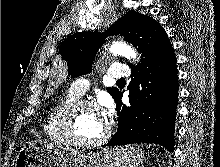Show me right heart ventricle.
<instances>
[{
	"label": "right heart ventricle",
	"mask_w": 220,
	"mask_h": 167,
	"mask_svg": "<svg viewBox=\"0 0 220 167\" xmlns=\"http://www.w3.org/2000/svg\"><path fill=\"white\" fill-rule=\"evenodd\" d=\"M78 98L79 97L70 90L52 104L42 127L43 135L49 141L59 145H69V142L63 136L60 129V119L64 110L72 102L78 100Z\"/></svg>",
	"instance_id": "e07e8e85"
}]
</instances>
